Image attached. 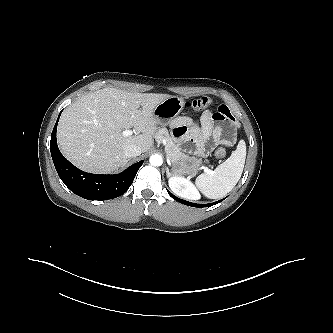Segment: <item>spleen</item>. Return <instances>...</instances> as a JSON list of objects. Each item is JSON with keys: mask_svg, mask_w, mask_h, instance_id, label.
<instances>
[{"mask_svg": "<svg viewBox=\"0 0 333 333\" xmlns=\"http://www.w3.org/2000/svg\"><path fill=\"white\" fill-rule=\"evenodd\" d=\"M246 159V144L239 141L235 151L213 172L201 174L196 178L198 189L210 199H218L229 193L239 181Z\"/></svg>", "mask_w": 333, "mask_h": 333, "instance_id": "1", "label": "spleen"}]
</instances>
